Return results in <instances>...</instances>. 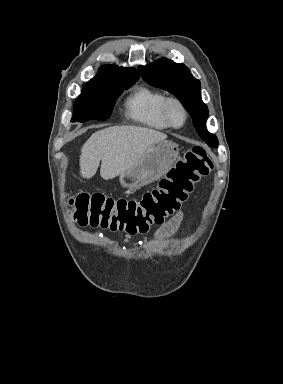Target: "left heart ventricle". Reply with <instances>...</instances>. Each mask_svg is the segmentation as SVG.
Instances as JSON below:
<instances>
[{
	"label": "left heart ventricle",
	"instance_id": "1",
	"mask_svg": "<svg viewBox=\"0 0 283 384\" xmlns=\"http://www.w3.org/2000/svg\"><path fill=\"white\" fill-rule=\"evenodd\" d=\"M170 118H171V121L173 122V124H175V125H181L182 124L184 116H183L181 109L178 106L174 105L171 107Z\"/></svg>",
	"mask_w": 283,
	"mask_h": 384
}]
</instances>
